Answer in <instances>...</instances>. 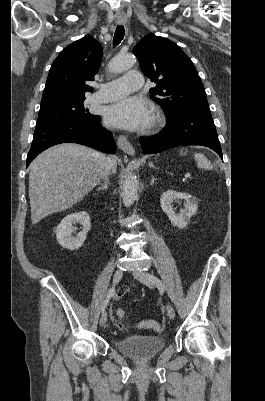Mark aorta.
I'll return each mask as SVG.
<instances>
[{
  "mask_svg": "<svg viewBox=\"0 0 265 401\" xmlns=\"http://www.w3.org/2000/svg\"><path fill=\"white\" fill-rule=\"evenodd\" d=\"M135 62V56H132V54H124L122 62H119V56L112 58V60L108 62V68L110 72H122V70H127V68L134 66ZM137 188L138 182L135 174L128 172L125 176L122 190V198L125 207H131V205H133L137 196Z\"/></svg>",
  "mask_w": 265,
  "mask_h": 401,
  "instance_id": "aorta-1",
  "label": "aorta"
}]
</instances>
